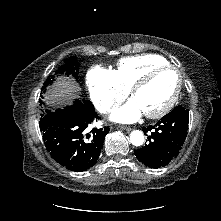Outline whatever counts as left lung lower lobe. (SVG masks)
<instances>
[{"mask_svg":"<svg viewBox=\"0 0 221 221\" xmlns=\"http://www.w3.org/2000/svg\"><path fill=\"white\" fill-rule=\"evenodd\" d=\"M189 110L184 106L175 107L154 126L143 127L148 133V142L134 151L137 159L152 168L164 167L177 157L186 139ZM147 141V140H146Z\"/></svg>","mask_w":221,"mask_h":221,"instance_id":"left-lung-lower-lobe-1","label":"left lung lower lobe"}]
</instances>
